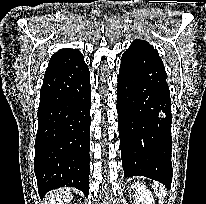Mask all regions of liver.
<instances>
[{"instance_id":"1","label":"liver","mask_w":206,"mask_h":204,"mask_svg":"<svg viewBox=\"0 0 206 204\" xmlns=\"http://www.w3.org/2000/svg\"><path fill=\"white\" fill-rule=\"evenodd\" d=\"M46 197L50 200L46 204H69L73 199L72 188L64 187L54 192L51 191Z\"/></svg>"}]
</instances>
